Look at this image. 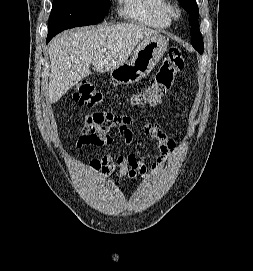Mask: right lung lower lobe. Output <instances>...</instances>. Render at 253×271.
<instances>
[{
	"instance_id": "obj_1",
	"label": "right lung lower lobe",
	"mask_w": 253,
	"mask_h": 271,
	"mask_svg": "<svg viewBox=\"0 0 253 271\" xmlns=\"http://www.w3.org/2000/svg\"><path fill=\"white\" fill-rule=\"evenodd\" d=\"M54 36H50V35H48L47 36V40H46V43H48L52 38H53Z\"/></svg>"
}]
</instances>
